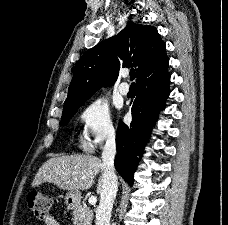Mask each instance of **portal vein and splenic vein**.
I'll return each instance as SVG.
<instances>
[{"mask_svg":"<svg viewBox=\"0 0 228 225\" xmlns=\"http://www.w3.org/2000/svg\"><path fill=\"white\" fill-rule=\"evenodd\" d=\"M82 179H85V177H82ZM88 203L89 205H96L97 203L96 197H90V199H88Z\"/></svg>","mask_w":228,"mask_h":225,"instance_id":"obj_1","label":"portal vein and splenic vein"}]
</instances>
